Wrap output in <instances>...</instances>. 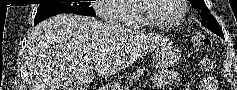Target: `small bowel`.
Returning a JSON list of instances; mask_svg holds the SVG:
<instances>
[{"instance_id":"small-bowel-1","label":"small bowel","mask_w":237,"mask_h":90,"mask_svg":"<svg viewBox=\"0 0 237 90\" xmlns=\"http://www.w3.org/2000/svg\"><path fill=\"white\" fill-rule=\"evenodd\" d=\"M203 77L200 81L201 90H218L216 78L211 74L212 66L209 62L200 65ZM181 77L179 74L170 70L158 71L152 79L153 87L157 90L167 87L171 84H179Z\"/></svg>"}]
</instances>
